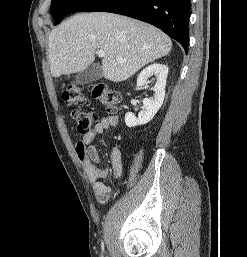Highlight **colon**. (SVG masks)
Returning a JSON list of instances; mask_svg holds the SVG:
<instances>
[{
    "mask_svg": "<svg viewBox=\"0 0 247 257\" xmlns=\"http://www.w3.org/2000/svg\"><path fill=\"white\" fill-rule=\"evenodd\" d=\"M90 92L108 113H115L119 105V94L104 83H93L89 86ZM62 99L68 106H76L72 111V117L80 133H87L98 120V114L93 110H83L87 98L83 93L82 86L77 83L68 85L63 93Z\"/></svg>",
    "mask_w": 247,
    "mask_h": 257,
    "instance_id": "colon-1",
    "label": "colon"
}]
</instances>
